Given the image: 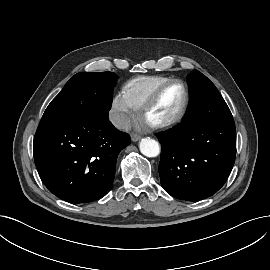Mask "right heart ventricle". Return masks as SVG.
Wrapping results in <instances>:
<instances>
[{"label":"right heart ventricle","instance_id":"right-heart-ventricle-1","mask_svg":"<svg viewBox=\"0 0 270 270\" xmlns=\"http://www.w3.org/2000/svg\"><path fill=\"white\" fill-rule=\"evenodd\" d=\"M170 79L161 75L137 76L124 84L123 92L134 109L140 110L156 88Z\"/></svg>","mask_w":270,"mask_h":270}]
</instances>
